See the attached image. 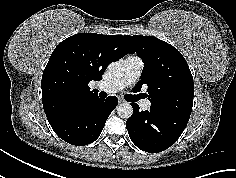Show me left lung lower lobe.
Masks as SVG:
<instances>
[{"label":"left lung lower lobe","instance_id":"1","mask_svg":"<svg viewBox=\"0 0 236 178\" xmlns=\"http://www.w3.org/2000/svg\"><path fill=\"white\" fill-rule=\"evenodd\" d=\"M133 114L126 122L132 142L141 150L157 153L172 146L184 131L190 116L151 105L149 111H139L131 104Z\"/></svg>","mask_w":236,"mask_h":178}]
</instances>
